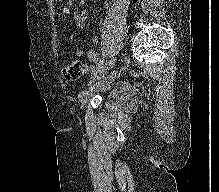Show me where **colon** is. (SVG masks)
<instances>
[{"label":"colon","instance_id":"1","mask_svg":"<svg viewBox=\"0 0 219 192\" xmlns=\"http://www.w3.org/2000/svg\"><path fill=\"white\" fill-rule=\"evenodd\" d=\"M82 73V65L77 62L70 63L63 69L64 76L70 80L79 78L82 75Z\"/></svg>","mask_w":219,"mask_h":192}]
</instances>
